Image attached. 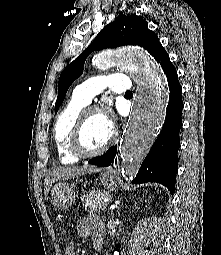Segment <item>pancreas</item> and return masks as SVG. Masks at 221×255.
I'll return each instance as SVG.
<instances>
[{
    "label": "pancreas",
    "mask_w": 221,
    "mask_h": 255,
    "mask_svg": "<svg viewBox=\"0 0 221 255\" xmlns=\"http://www.w3.org/2000/svg\"><path fill=\"white\" fill-rule=\"evenodd\" d=\"M112 196L107 191H94L87 194L83 199V205L88 213H94L98 210H106L107 203L105 200L111 199Z\"/></svg>",
    "instance_id": "obj_1"
}]
</instances>
